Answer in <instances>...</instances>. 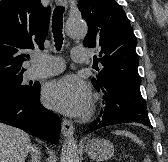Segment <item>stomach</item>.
I'll use <instances>...</instances> for the list:
<instances>
[{"label": "stomach", "instance_id": "0dacf381", "mask_svg": "<svg viewBox=\"0 0 168 162\" xmlns=\"http://www.w3.org/2000/svg\"><path fill=\"white\" fill-rule=\"evenodd\" d=\"M84 150L90 158L97 162L108 160L114 154L112 143L106 139H91L86 143Z\"/></svg>", "mask_w": 168, "mask_h": 162}]
</instances>
